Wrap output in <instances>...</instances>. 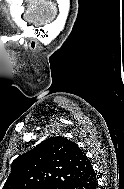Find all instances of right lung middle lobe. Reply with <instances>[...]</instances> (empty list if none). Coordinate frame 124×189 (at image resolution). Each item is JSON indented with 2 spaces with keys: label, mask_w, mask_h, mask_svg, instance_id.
<instances>
[{
  "label": "right lung middle lobe",
  "mask_w": 124,
  "mask_h": 189,
  "mask_svg": "<svg viewBox=\"0 0 124 189\" xmlns=\"http://www.w3.org/2000/svg\"><path fill=\"white\" fill-rule=\"evenodd\" d=\"M39 189H63V186H59V185H49V186H43Z\"/></svg>",
  "instance_id": "dd1d6c3e"
}]
</instances>
